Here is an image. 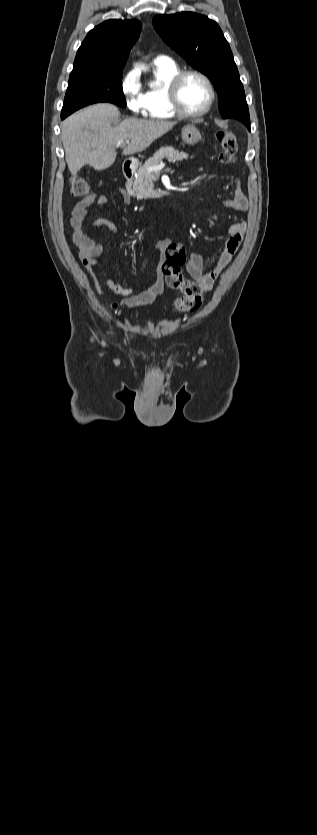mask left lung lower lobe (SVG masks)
<instances>
[{
    "label": "left lung lower lobe",
    "mask_w": 317,
    "mask_h": 835,
    "mask_svg": "<svg viewBox=\"0 0 317 835\" xmlns=\"http://www.w3.org/2000/svg\"><path fill=\"white\" fill-rule=\"evenodd\" d=\"M244 125H245V126L247 127V129L250 131V123H245Z\"/></svg>",
    "instance_id": "1"
}]
</instances>
